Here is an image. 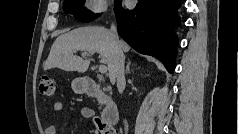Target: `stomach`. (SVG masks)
<instances>
[{"label": "stomach", "instance_id": "0dacf381", "mask_svg": "<svg viewBox=\"0 0 239 134\" xmlns=\"http://www.w3.org/2000/svg\"><path fill=\"white\" fill-rule=\"evenodd\" d=\"M72 88L76 93L82 94L87 90V83L84 78H76L72 81Z\"/></svg>", "mask_w": 239, "mask_h": 134}]
</instances>
